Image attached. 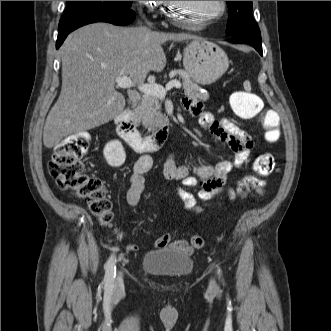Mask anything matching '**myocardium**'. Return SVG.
Returning <instances> with one entry per match:
<instances>
[{
    "label": "myocardium",
    "instance_id": "f54148a6",
    "mask_svg": "<svg viewBox=\"0 0 331 331\" xmlns=\"http://www.w3.org/2000/svg\"><path fill=\"white\" fill-rule=\"evenodd\" d=\"M168 7H167V12H166V15L167 17L169 18V20L177 25V26H194V27H199V26H202V25H206L207 23L211 22V21H214L220 17L223 16V14L225 13V10H226V5H225V1H218V4H219V8H218V11L201 20L200 22H197V23H190V22H187V21H183L181 19H179L176 14H175V8L176 6L178 5V2L177 1H166Z\"/></svg>",
    "mask_w": 331,
    "mask_h": 331
}]
</instances>
